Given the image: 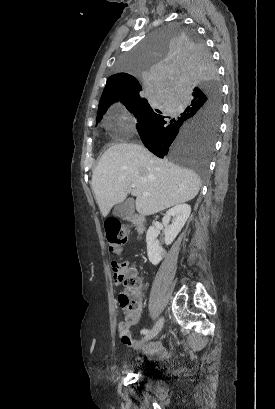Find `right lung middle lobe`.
<instances>
[{
    "label": "right lung middle lobe",
    "mask_w": 275,
    "mask_h": 409,
    "mask_svg": "<svg viewBox=\"0 0 275 409\" xmlns=\"http://www.w3.org/2000/svg\"><path fill=\"white\" fill-rule=\"evenodd\" d=\"M140 48L126 50L112 72L138 73L147 91L170 93L120 101L137 119L141 140L153 154L187 165L206 182L221 116V86L211 51L193 24H165ZM107 109L97 113L96 123Z\"/></svg>",
    "instance_id": "dd1d6c3e"
}]
</instances>
